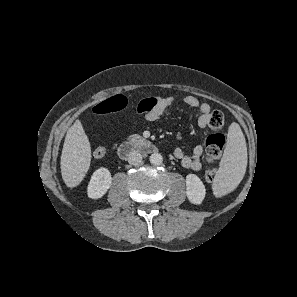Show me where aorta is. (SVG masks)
<instances>
[{
    "mask_svg": "<svg viewBox=\"0 0 297 297\" xmlns=\"http://www.w3.org/2000/svg\"><path fill=\"white\" fill-rule=\"evenodd\" d=\"M163 162V157L160 153H153L150 156V163L153 165H161Z\"/></svg>",
    "mask_w": 297,
    "mask_h": 297,
    "instance_id": "aorta-1",
    "label": "aorta"
}]
</instances>
